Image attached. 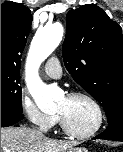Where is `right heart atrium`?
Masks as SVG:
<instances>
[{
  "instance_id": "right-heart-atrium-1",
  "label": "right heart atrium",
  "mask_w": 123,
  "mask_h": 152,
  "mask_svg": "<svg viewBox=\"0 0 123 152\" xmlns=\"http://www.w3.org/2000/svg\"><path fill=\"white\" fill-rule=\"evenodd\" d=\"M21 109L27 119L42 130L52 128L57 122V116L41 111L32 99L26 95L21 97Z\"/></svg>"
}]
</instances>
